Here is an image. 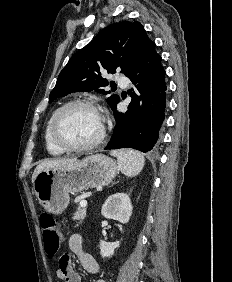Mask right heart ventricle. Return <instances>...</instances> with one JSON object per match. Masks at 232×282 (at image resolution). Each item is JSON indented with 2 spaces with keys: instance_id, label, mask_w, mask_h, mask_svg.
Returning <instances> with one entry per match:
<instances>
[{
  "instance_id": "1",
  "label": "right heart ventricle",
  "mask_w": 232,
  "mask_h": 282,
  "mask_svg": "<svg viewBox=\"0 0 232 282\" xmlns=\"http://www.w3.org/2000/svg\"><path fill=\"white\" fill-rule=\"evenodd\" d=\"M53 116V115H52ZM51 116V118H52ZM51 118L48 120L45 132H44V140H45V146L49 154L53 156H60L62 155L65 151L61 150L58 148L52 141L51 136H50V122Z\"/></svg>"
}]
</instances>
